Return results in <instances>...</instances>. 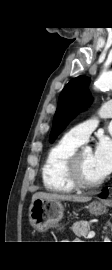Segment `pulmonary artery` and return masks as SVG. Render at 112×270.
Instances as JSON below:
<instances>
[{"instance_id": "e3ab8cb5", "label": "pulmonary artery", "mask_w": 112, "mask_h": 270, "mask_svg": "<svg viewBox=\"0 0 112 270\" xmlns=\"http://www.w3.org/2000/svg\"><path fill=\"white\" fill-rule=\"evenodd\" d=\"M98 116L100 118H112V102L103 105L98 111ZM97 126L98 120L96 118H92L71 128L68 135L82 144L87 141L90 134L96 129Z\"/></svg>"}]
</instances>
